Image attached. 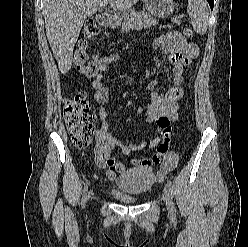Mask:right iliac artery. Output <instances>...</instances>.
I'll return each instance as SVG.
<instances>
[{"label":"right iliac artery","instance_id":"right-iliac-artery-1","mask_svg":"<svg viewBox=\"0 0 248 247\" xmlns=\"http://www.w3.org/2000/svg\"><path fill=\"white\" fill-rule=\"evenodd\" d=\"M88 186H89V183L87 182L85 184V187H84V190H83V196H82V200H81L82 208L85 207V203H86V200H87Z\"/></svg>","mask_w":248,"mask_h":247}]
</instances>
